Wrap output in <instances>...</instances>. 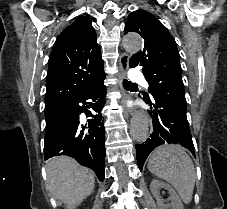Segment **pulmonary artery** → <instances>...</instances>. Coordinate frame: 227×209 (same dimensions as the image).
<instances>
[{
    "instance_id": "pulmonary-artery-1",
    "label": "pulmonary artery",
    "mask_w": 227,
    "mask_h": 209,
    "mask_svg": "<svg viewBox=\"0 0 227 209\" xmlns=\"http://www.w3.org/2000/svg\"><path fill=\"white\" fill-rule=\"evenodd\" d=\"M125 78H130V83H143L144 73L141 70H131L130 73H125Z\"/></svg>"
}]
</instances>
